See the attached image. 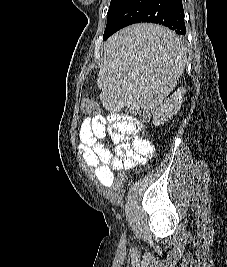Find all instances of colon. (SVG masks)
<instances>
[{
  "label": "colon",
  "instance_id": "colon-1",
  "mask_svg": "<svg viewBox=\"0 0 227 267\" xmlns=\"http://www.w3.org/2000/svg\"><path fill=\"white\" fill-rule=\"evenodd\" d=\"M82 108L85 112L93 114L99 111L98 105L89 100L84 99L82 102ZM142 111H139L138 108H129L127 112L135 113V115L140 116L142 120V125H150V120L156 117L155 113H151L148 109L147 104L141 105ZM132 173V166H125V169H120L116 173H114V178H129V175Z\"/></svg>",
  "mask_w": 227,
  "mask_h": 267
}]
</instances>
